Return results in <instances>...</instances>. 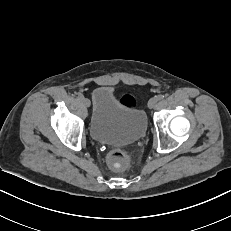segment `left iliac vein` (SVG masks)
Listing matches in <instances>:
<instances>
[{"label":"left iliac vein","mask_w":231,"mask_h":231,"mask_svg":"<svg viewBox=\"0 0 231 231\" xmlns=\"http://www.w3.org/2000/svg\"><path fill=\"white\" fill-rule=\"evenodd\" d=\"M157 102H158V98L157 97H152L148 102V107L149 108H154L156 106Z\"/></svg>","instance_id":"1"}]
</instances>
